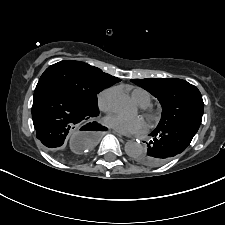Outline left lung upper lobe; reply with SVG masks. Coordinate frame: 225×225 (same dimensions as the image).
Listing matches in <instances>:
<instances>
[{"instance_id": "left-lung-upper-lobe-1", "label": "left lung upper lobe", "mask_w": 225, "mask_h": 225, "mask_svg": "<svg viewBox=\"0 0 225 225\" xmlns=\"http://www.w3.org/2000/svg\"><path fill=\"white\" fill-rule=\"evenodd\" d=\"M161 103L163 111L156 130L188 121H202L204 103L200 91L192 84L175 78L132 79ZM142 154L138 157H141Z\"/></svg>"}]
</instances>
